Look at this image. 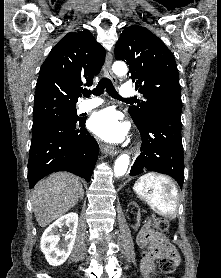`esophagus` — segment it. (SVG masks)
Segmentation results:
<instances>
[{"label":"esophagus","instance_id":"esophagus-1","mask_svg":"<svg viewBox=\"0 0 221 278\" xmlns=\"http://www.w3.org/2000/svg\"><path fill=\"white\" fill-rule=\"evenodd\" d=\"M112 61H113L112 53L108 52L106 54L104 71L109 78H111L113 81H115V76L113 75V72L111 69ZM101 150H102V152H104L108 155H111V156H114L118 153V150L115 147L110 146V145H102Z\"/></svg>","mask_w":221,"mask_h":278}]
</instances>
